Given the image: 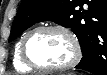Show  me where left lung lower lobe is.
Returning a JSON list of instances; mask_svg holds the SVG:
<instances>
[{
  "label": "left lung lower lobe",
  "instance_id": "1",
  "mask_svg": "<svg viewBox=\"0 0 107 75\" xmlns=\"http://www.w3.org/2000/svg\"><path fill=\"white\" fill-rule=\"evenodd\" d=\"M89 6L87 12L93 13L98 21L90 22L88 30L81 39L83 57L75 67L91 72L95 75H107V39L100 40L95 33L97 22L107 17L106 0H84Z\"/></svg>",
  "mask_w": 107,
  "mask_h": 75
}]
</instances>
